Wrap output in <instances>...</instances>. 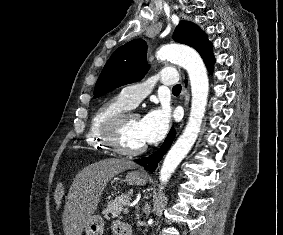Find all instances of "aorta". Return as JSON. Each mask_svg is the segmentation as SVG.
I'll return each instance as SVG.
<instances>
[{"label":"aorta","mask_w":283,"mask_h":235,"mask_svg":"<svg viewBox=\"0 0 283 235\" xmlns=\"http://www.w3.org/2000/svg\"><path fill=\"white\" fill-rule=\"evenodd\" d=\"M156 57L160 60H173L182 66L189 75L192 93L188 123L167 153L160 170V189H162L197 139L207 105L209 81L202 58L190 47L178 44L165 45L157 51Z\"/></svg>","instance_id":"obj_1"}]
</instances>
